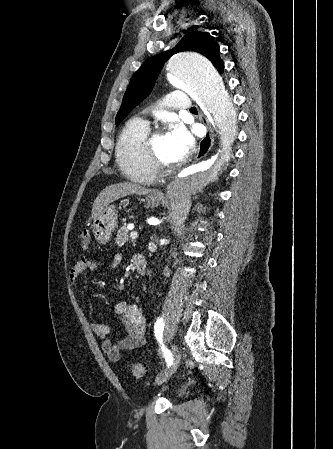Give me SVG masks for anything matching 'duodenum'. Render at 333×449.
<instances>
[{
	"label": "duodenum",
	"instance_id": "1",
	"mask_svg": "<svg viewBox=\"0 0 333 449\" xmlns=\"http://www.w3.org/2000/svg\"><path fill=\"white\" fill-rule=\"evenodd\" d=\"M133 267L137 274L143 275L146 272L147 269V262L143 255L136 254L133 257Z\"/></svg>",
	"mask_w": 333,
	"mask_h": 449
}]
</instances>
